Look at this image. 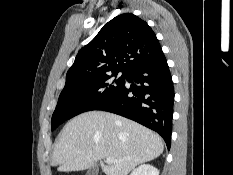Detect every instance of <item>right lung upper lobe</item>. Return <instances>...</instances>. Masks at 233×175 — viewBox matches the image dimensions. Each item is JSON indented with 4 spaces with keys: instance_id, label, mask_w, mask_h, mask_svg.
Listing matches in <instances>:
<instances>
[{
    "instance_id": "1",
    "label": "right lung upper lobe",
    "mask_w": 233,
    "mask_h": 175,
    "mask_svg": "<svg viewBox=\"0 0 233 175\" xmlns=\"http://www.w3.org/2000/svg\"><path fill=\"white\" fill-rule=\"evenodd\" d=\"M161 53L149 25L132 13H125L106 23L78 52L66 82L110 72L128 73Z\"/></svg>"
}]
</instances>
